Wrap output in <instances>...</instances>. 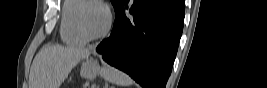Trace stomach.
I'll use <instances>...</instances> for the list:
<instances>
[{"mask_svg": "<svg viewBox=\"0 0 267 88\" xmlns=\"http://www.w3.org/2000/svg\"><path fill=\"white\" fill-rule=\"evenodd\" d=\"M101 73V68L96 61L86 60L82 63L80 75L86 79H93Z\"/></svg>", "mask_w": 267, "mask_h": 88, "instance_id": "1", "label": "stomach"}]
</instances>
